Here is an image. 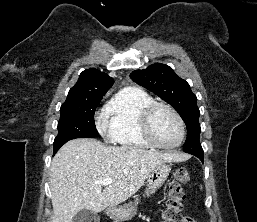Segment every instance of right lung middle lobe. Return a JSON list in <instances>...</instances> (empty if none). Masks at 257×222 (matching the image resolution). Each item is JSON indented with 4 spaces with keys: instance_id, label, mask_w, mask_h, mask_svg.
<instances>
[{
    "instance_id": "obj_1",
    "label": "right lung middle lobe",
    "mask_w": 257,
    "mask_h": 222,
    "mask_svg": "<svg viewBox=\"0 0 257 222\" xmlns=\"http://www.w3.org/2000/svg\"><path fill=\"white\" fill-rule=\"evenodd\" d=\"M102 97H87L65 101L60 109L58 135L54 149L75 138H93L99 135L94 122V113Z\"/></svg>"
}]
</instances>
